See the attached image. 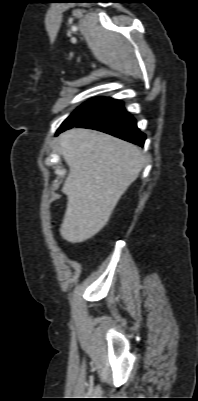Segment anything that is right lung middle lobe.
<instances>
[{
  "label": "right lung middle lobe",
  "instance_id": "dd1d6c3e",
  "mask_svg": "<svg viewBox=\"0 0 198 401\" xmlns=\"http://www.w3.org/2000/svg\"><path fill=\"white\" fill-rule=\"evenodd\" d=\"M106 100L104 97H98L84 103L77 108L59 127L56 134L70 129L93 114Z\"/></svg>",
  "mask_w": 198,
  "mask_h": 401
}]
</instances>
